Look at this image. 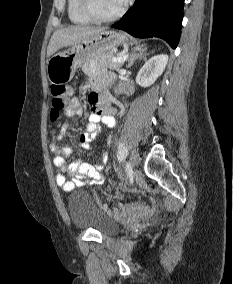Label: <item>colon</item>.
<instances>
[{
    "instance_id": "1",
    "label": "colon",
    "mask_w": 233,
    "mask_h": 284,
    "mask_svg": "<svg viewBox=\"0 0 233 284\" xmlns=\"http://www.w3.org/2000/svg\"><path fill=\"white\" fill-rule=\"evenodd\" d=\"M72 96V88L64 84H54L51 87V119L55 121L60 112L68 106ZM96 204L104 212L118 218L131 219L139 218L147 213V207L144 203L138 202L124 205L119 208L110 209L97 195H94Z\"/></svg>"
}]
</instances>
